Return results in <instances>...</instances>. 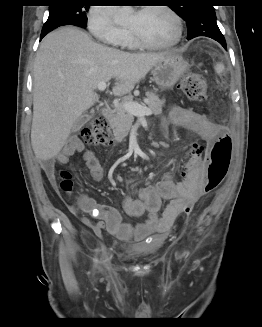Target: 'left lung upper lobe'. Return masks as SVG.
I'll return each instance as SVG.
<instances>
[{
  "mask_svg": "<svg viewBox=\"0 0 262 327\" xmlns=\"http://www.w3.org/2000/svg\"><path fill=\"white\" fill-rule=\"evenodd\" d=\"M189 3L185 6L171 5L172 10L186 21L188 34H192L196 30L204 31L218 27L214 7L209 5L207 0H193Z\"/></svg>",
  "mask_w": 262,
  "mask_h": 327,
  "instance_id": "left-lung-upper-lobe-1",
  "label": "left lung upper lobe"
}]
</instances>
